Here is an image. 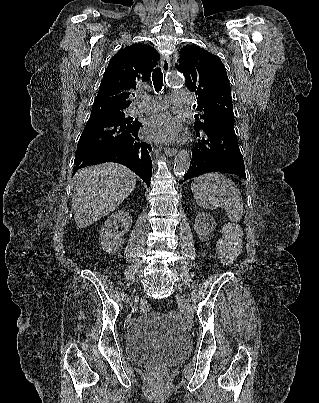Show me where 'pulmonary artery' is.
<instances>
[{
  "instance_id": "obj_1",
  "label": "pulmonary artery",
  "mask_w": 319,
  "mask_h": 403,
  "mask_svg": "<svg viewBox=\"0 0 319 403\" xmlns=\"http://www.w3.org/2000/svg\"><path fill=\"white\" fill-rule=\"evenodd\" d=\"M191 98V93L186 90H175L172 93L171 102L178 107H187ZM168 101L158 96H141L133 103L129 109L132 114L157 111L164 108Z\"/></svg>"
}]
</instances>
